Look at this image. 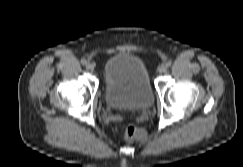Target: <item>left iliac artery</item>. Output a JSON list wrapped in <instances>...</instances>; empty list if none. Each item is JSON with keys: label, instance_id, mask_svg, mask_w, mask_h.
Listing matches in <instances>:
<instances>
[{"label": "left iliac artery", "instance_id": "1", "mask_svg": "<svg viewBox=\"0 0 243 167\" xmlns=\"http://www.w3.org/2000/svg\"><path fill=\"white\" fill-rule=\"evenodd\" d=\"M166 66H167V67H170V66H171V62L168 61V62L166 63Z\"/></svg>", "mask_w": 243, "mask_h": 167}]
</instances>
